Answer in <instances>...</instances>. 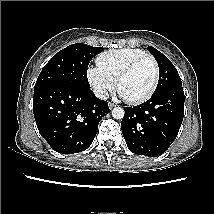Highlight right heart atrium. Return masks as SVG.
<instances>
[{"label":"right heart atrium","instance_id":"right-heart-atrium-1","mask_svg":"<svg viewBox=\"0 0 214 214\" xmlns=\"http://www.w3.org/2000/svg\"><path fill=\"white\" fill-rule=\"evenodd\" d=\"M86 76L95 94L100 98H106L116 86V79L98 65L90 66Z\"/></svg>","mask_w":214,"mask_h":214}]
</instances>
